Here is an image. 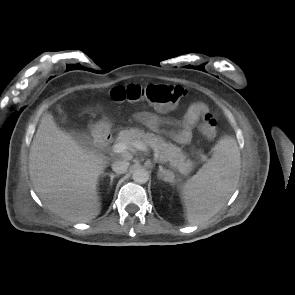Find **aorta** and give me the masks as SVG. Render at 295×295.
Instances as JSON below:
<instances>
[{"label": "aorta", "instance_id": "obj_1", "mask_svg": "<svg viewBox=\"0 0 295 295\" xmlns=\"http://www.w3.org/2000/svg\"><path fill=\"white\" fill-rule=\"evenodd\" d=\"M133 180L136 183L139 184H144L148 181L149 179V173L146 169L144 168H137L132 175Z\"/></svg>", "mask_w": 295, "mask_h": 295}]
</instances>
